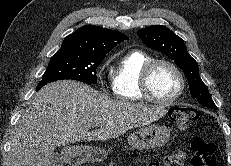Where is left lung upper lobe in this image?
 I'll use <instances>...</instances> for the list:
<instances>
[{
	"label": "left lung upper lobe",
	"mask_w": 231,
	"mask_h": 166,
	"mask_svg": "<svg viewBox=\"0 0 231 166\" xmlns=\"http://www.w3.org/2000/svg\"><path fill=\"white\" fill-rule=\"evenodd\" d=\"M139 38L149 48L155 49L170 59L184 71L189 90L201 105L217 109L206 85L199 76L197 62L187 52L184 41L163 25H152L137 32Z\"/></svg>",
	"instance_id": "1"
}]
</instances>
